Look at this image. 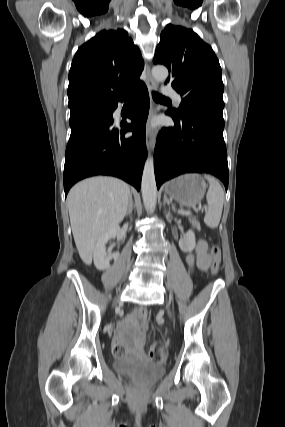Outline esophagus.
<instances>
[{
	"instance_id": "esophagus-1",
	"label": "esophagus",
	"mask_w": 285,
	"mask_h": 427,
	"mask_svg": "<svg viewBox=\"0 0 285 427\" xmlns=\"http://www.w3.org/2000/svg\"><path fill=\"white\" fill-rule=\"evenodd\" d=\"M146 75H147L146 85H147L149 92L151 93L152 91L157 90V84L151 76V71H150L149 66H147V68H146ZM154 114H155L154 102L151 100L150 101L149 117H148L147 126H146V145H147V149L149 151H152L154 149V146H155V131L151 127V119L154 116Z\"/></svg>"
}]
</instances>
